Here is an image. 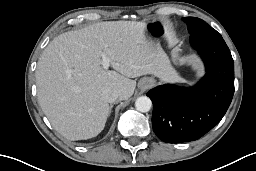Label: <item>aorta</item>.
Listing matches in <instances>:
<instances>
[{
  "mask_svg": "<svg viewBox=\"0 0 256 171\" xmlns=\"http://www.w3.org/2000/svg\"><path fill=\"white\" fill-rule=\"evenodd\" d=\"M135 107L138 111L146 113L151 109L152 101L147 96H141L136 100Z\"/></svg>",
  "mask_w": 256,
  "mask_h": 171,
  "instance_id": "aorta-1",
  "label": "aorta"
}]
</instances>
